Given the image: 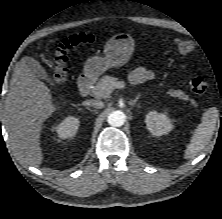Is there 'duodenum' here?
<instances>
[{
    "instance_id": "410a0bca",
    "label": "duodenum",
    "mask_w": 222,
    "mask_h": 219,
    "mask_svg": "<svg viewBox=\"0 0 222 219\" xmlns=\"http://www.w3.org/2000/svg\"><path fill=\"white\" fill-rule=\"evenodd\" d=\"M93 77L89 74H84L78 79V90L81 95H87L92 87Z\"/></svg>"
}]
</instances>
